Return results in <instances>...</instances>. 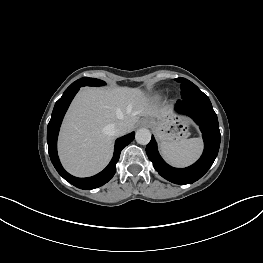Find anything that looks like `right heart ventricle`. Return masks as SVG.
I'll return each instance as SVG.
<instances>
[{
    "label": "right heart ventricle",
    "instance_id": "obj_1",
    "mask_svg": "<svg viewBox=\"0 0 263 263\" xmlns=\"http://www.w3.org/2000/svg\"><path fill=\"white\" fill-rule=\"evenodd\" d=\"M153 98H154L155 100H159V99L161 98V94L158 93V94H156Z\"/></svg>",
    "mask_w": 263,
    "mask_h": 263
}]
</instances>
